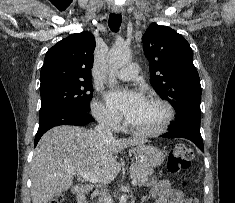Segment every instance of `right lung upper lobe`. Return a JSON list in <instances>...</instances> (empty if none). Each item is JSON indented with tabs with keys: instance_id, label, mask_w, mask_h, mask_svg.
<instances>
[{
	"instance_id": "obj_1",
	"label": "right lung upper lobe",
	"mask_w": 235,
	"mask_h": 203,
	"mask_svg": "<svg viewBox=\"0 0 235 203\" xmlns=\"http://www.w3.org/2000/svg\"><path fill=\"white\" fill-rule=\"evenodd\" d=\"M96 43L90 32L72 34L50 48L41 68V85L56 81L91 80Z\"/></svg>"
}]
</instances>
